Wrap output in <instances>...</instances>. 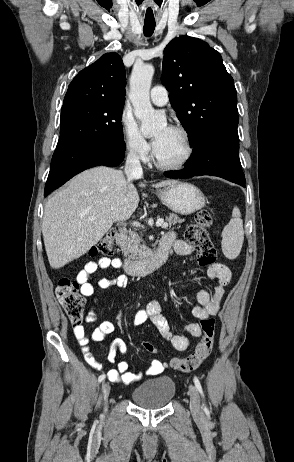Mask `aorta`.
Instances as JSON below:
<instances>
[{"instance_id": "aorta-1", "label": "aorta", "mask_w": 294, "mask_h": 462, "mask_svg": "<svg viewBox=\"0 0 294 462\" xmlns=\"http://www.w3.org/2000/svg\"><path fill=\"white\" fill-rule=\"evenodd\" d=\"M153 74L154 67L151 64L135 65L130 78L129 99L145 135L153 133L162 124L150 102L149 91Z\"/></svg>"}]
</instances>
